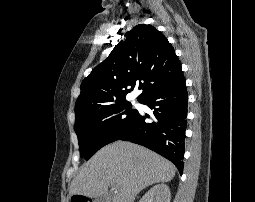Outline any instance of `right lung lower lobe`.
Segmentation results:
<instances>
[{
  "mask_svg": "<svg viewBox=\"0 0 255 202\" xmlns=\"http://www.w3.org/2000/svg\"><path fill=\"white\" fill-rule=\"evenodd\" d=\"M140 103L154 109V121L145 122L149 116L139 113L118 140L137 143L159 153L173 162L182 175L188 103L185 79L149 94Z\"/></svg>",
  "mask_w": 255,
  "mask_h": 202,
  "instance_id": "1",
  "label": "right lung lower lobe"
}]
</instances>
